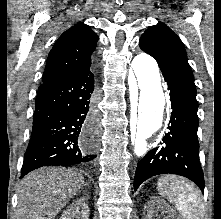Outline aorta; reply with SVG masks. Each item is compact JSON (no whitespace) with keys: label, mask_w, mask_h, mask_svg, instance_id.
<instances>
[{"label":"aorta","mask_w":221,"mask_h":219,"mask_svg":"<svg viewBox=\"0 0 221 219\" xmlns=\"http://www.w3.org/2000/svg\"><path fill=\"white\" fill-rule=\"evenodd\" d=\"M131 67L136 76V88L139 89L133 124L134 152L137 156H142L146 152V138L163 125L166 95L154 58L140 53L133 59Z\"/></svg>","instance_id":"1"}]
</instances>
